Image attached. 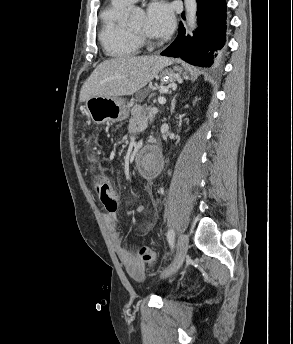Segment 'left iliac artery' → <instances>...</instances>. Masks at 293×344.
<instances>
[{"instance_id":"left-iliac-artery-1","label":"left iliac artery","mask_w":293,"mask_h":344,"mask_svg":"<svg viewBox=\"0 0 293 344\" xmlns=\"http://www.w3.org/2000/svg\"><path fill=\"white\" fill-rule=\"evenodd\" d=\"M174 237H175V232L173 229H170L167 233V239L172 249L174 247Z\"/></svg>"}]
</instances>
